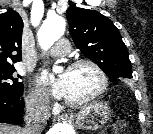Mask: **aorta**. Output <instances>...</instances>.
<instances>
[{
	"label": "aorta",
	"instance_id": "aorta-1",
	"mask_svg": "<svg viewBox=\"0 0 153 134\" xmlns=\"http://www.w3.org/2000/svg\"><path fill=\"white\" fill-rule=\"evenodd\" d=\"M65 31V20L58 15L48 17L38 31V43L44 50L50 48ZM57 70V68H54ZM53 76H50L52 79ZM52 134H75L73 128L66 124H57L51 130Z\"/></svg>",
	"mask_w": 153,
	"mask_h": 134
}]
</instances>
